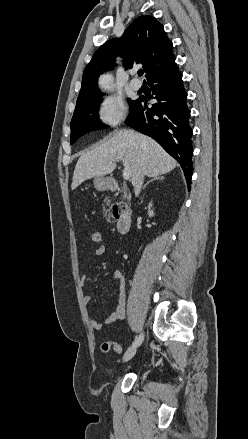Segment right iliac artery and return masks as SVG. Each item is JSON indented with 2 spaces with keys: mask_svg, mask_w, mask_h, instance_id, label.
I'll return each mask as SVG.
<instances>
[{
  "mask_svg": "<svg viewBox=\"0 0 248 439\" xmlns=\"http://www.w3.org/2000/svg\"><path fill=\"white\" fill-rule=\"evenodd\" d=\"M139 334H140V335H137V337L135 338V341L133 342V345H132V346H138V345H141L142 342H145V337H144V335L146 334V331H145L144 329H141V330L139 331Z\"/></svg>",
  "mask_w": 248,
  "mask_h": 439,
  "instance_id": "obj_1",
  "label": "right iliac artery"
}]
</instances>
